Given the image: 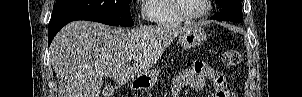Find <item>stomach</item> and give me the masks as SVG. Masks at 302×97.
<instances>
[{
    "label": "stomach",
    "instance_id": "1",
    "mask_svg": "<svg viewBox=\"0 0 302 97\" xmlns=\"http://www.w3.org/2000/svg\"><path fill=\"white\" fill-rule=\"evenodd\" d=\"M205 38L204 30L198 25L187 26L179 35V41L185 48L197 47L204 42ZM159 74L160 69L150 70L138 78L137 84L143 88H151L157 83Z\"/></svg>",
    "mask_w": 302,
    "mask_h": 97
}]
</instances>
